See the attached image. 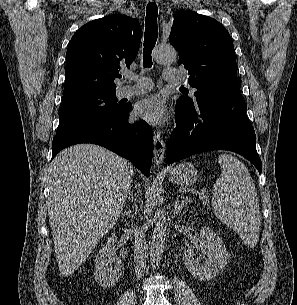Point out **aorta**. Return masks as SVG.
<instances>
[{"mask_svg": "<svg viewBox=\"0 0 297 305\" xmlns=\"http://www.w3.org/2000/svg\"><path fill=\"white\" fill-rule=\"evenodd\" d=\"M154 60L159 64H169L176 61L177 51L170 45H160L153 52ZM166 239V215L162 210L155 213L154 230L150 242V261L152 266H158L164 250Z\"/></svg>", "mask_w": 297, "mask_h": 305, "instance_id": "762f6f07", "label": "aorta"}]
</instances>
